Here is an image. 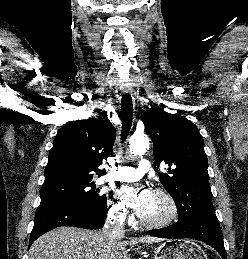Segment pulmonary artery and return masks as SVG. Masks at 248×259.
Returning a JSON list of instances; mask_svg holds the SVG:
<instances>
[{
    "label": "pulmonary artery",
    "instance_id": "obj_1",
    "mask_svg": "<svg viewBox=\"0 0 248 259\" xmlns=\"http://www.w3.org/2000/svg\"><path fill=\"white\" fill-rule=\"evenodd\" d=\"M151 169V164L148 159H141L139 166L137 168L129 166H119L114 168L109 174L101 177L99 179L100 183L103 182H112V181H123L131 182L136 181L142 176L149 172Z\"/></svg>",
    "mask_w": 248,
    "mask_h": 259
}]
</instances>
